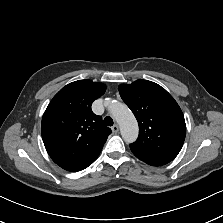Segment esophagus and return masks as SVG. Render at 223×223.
<instances>
[{"label": "esophagus", "mask_w": 223, "mask_h": 223, "mask_svg": "<svg viewBox=\"0 0 223 223\" xmlns=\"http://www.w3.org/2000/svg\"><path fill=\"white\" fill-rule=\"evenodd\" d=\"M111 130L114 134L118 133L119 131V126L118 124H114L112 127H111Z\"/></svg>", "instance_id": "1"}]
</instances>
